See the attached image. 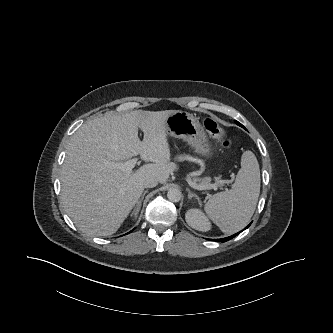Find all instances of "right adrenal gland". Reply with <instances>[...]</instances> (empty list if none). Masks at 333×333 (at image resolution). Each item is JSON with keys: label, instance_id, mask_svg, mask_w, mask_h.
<instances>
[{"label": "right adrenal gland", "instance_id": "1", "mask_svg": "<svg viewBox=\"0 0 333 333\" xmlns=\"http://www.w3.org/2000/svg\"><path fill=\"white\" fill-rule=\"evenodd\" d=\"M148 192V190H145L144 192H143V194L141 195V198L139 199V201L137 202V204H136V206H135V208H134V210H133V212H132V214H131V216H137V214L139 213V211H140V207H141V203H142V201H143V199H144V196L146 195V193Z\"/></svg>", "mask_w": 333, "mask_h": 333}]
</instances>
